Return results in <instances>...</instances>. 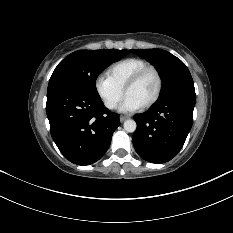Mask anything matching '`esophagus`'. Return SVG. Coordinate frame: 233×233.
Listing matches in <instances>:
<instances>
[{"label":"esophagus","instance_id":"obj_1","mask_svg":"<svg viewBox=\"0 0 233 233\" xmlns=\"http://www.w3.org/2000/svg\"><path fill=\"white\" fill-rule=\"evenodd\" d=\"M120 122H124L126 119H127V117L126 116H120Z\"/></svg>","mask_w":233,"mask_h":233}]
</instances>
